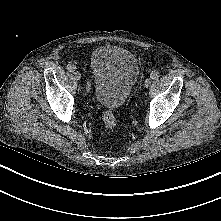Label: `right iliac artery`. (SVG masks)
I'll return each mask as SVG.
<instances>
[{
  "label": "right iliac artery",
  "instance_id": "right-iliac-artery-1",
  "mask_svg": "<svg viewBox=\"0 0 221 221\" xmlns=\"http://www.w3.org/2000/svg\"><path fill=\"white\" fill-rule=\"evenodd\" d=\"M75 69H76V66H75V65H73V64H71V63L67 65V70H68V71L73 72V71H75ZM90 86H91V85H90V81L88 80V81H87V84H86V92H87V93L90 92V89H91Z\"/></svg>",
  "mask_w": 221,
  "mask_h": 221
}]
</instances>
